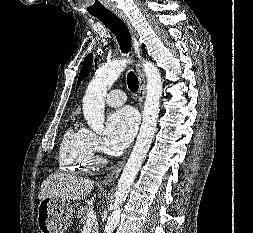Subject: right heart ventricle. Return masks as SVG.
<instances>
[{
  "mask_svg": "<svg viewBox=\"0 0 253 233\" xmlns=\"http://www.w3.org/2000/svg\"><path fill=\"white\" fill-rule=\"evenodd\" d=\"M60 169L70 173L88 171L94 163L89 131L81 127L68 128L61 140L58 153Z\"/></svg>",
  "mask_w": 253,
  "mask_h": 233,
  "instance_id": "right-heart-ventricle-1",
  "label": "right heart ventricle"
}]
</instances>
